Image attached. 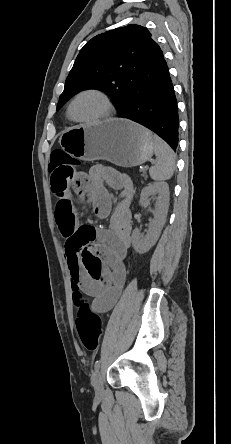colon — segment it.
<instances>
[{"label":"colon","mask_w":231,"mask_h":444,"mask_svg":"<svg viewBox=\"0 0 231 444\" xmlns=\"http://www.w3.org/2000/svg\"><path fill=\"white\" fill-rule=\"evenodd\" d=\"M79 161L69 156L62 150H54L51 153L49 173L51 181L57 186L66 185L77 175ZM81 237L95 234L91 226L79 227ZM74 301L78 309L77 330L83 346L88 351H95L101 341L103 322L101 317L89 309L87 299L82 295L77 286L74 287Z\"/></svg>","instance_id":"obj_1"}]
</instances>
